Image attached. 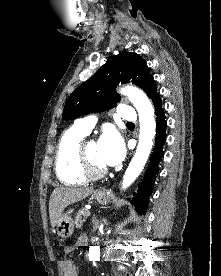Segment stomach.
Returning a JSON list of instances; mask_svg holds the SVG:
<instances>
[{
	"label": "stomach",
	"instance_id": "1",
	"mask_svg": "<svg viewBox=\"0 0 221 276\" xmlns=\"http://www.w3.org/2000/svg\"><path fill=\"white\" fill-rule=\"evenodd\" d=\"M93 198L97 200L100 204H106L111 199V194L108 191L97 190L93 193ZM57 233L58 235L66 239L73 234L74 222L71 217L70 212L63 213L57 223Z\"/></svg>",
	"mask_w": 221,
	"mask_h": 276
}]
</instances>
